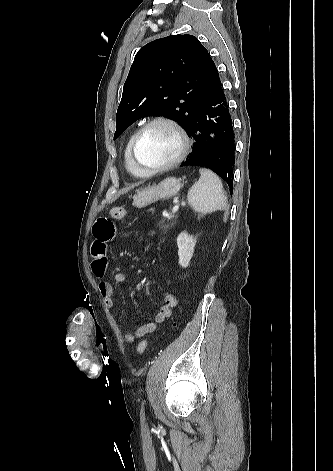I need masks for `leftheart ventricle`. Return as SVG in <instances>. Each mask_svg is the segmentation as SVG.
<instances>
[{
    "mask_svg": "<svg viewBox=\"0 0 333 471\" xmlns=\"http://www.w3.org/2000/svg\"><path fill=\"white\" fill-rule=\"evenodd\" d=\"M179 149L180 142L174 130L164 124H155L142 137L137 157L144 166H159L173 160Z\"/></svg>",
    "mask_w": 333,
    "mask_h": 471,
    "instance_id": "1",
    "label": "left heart ventricle"
}]
</instances>
